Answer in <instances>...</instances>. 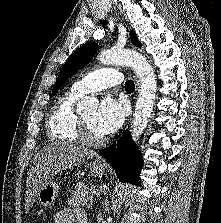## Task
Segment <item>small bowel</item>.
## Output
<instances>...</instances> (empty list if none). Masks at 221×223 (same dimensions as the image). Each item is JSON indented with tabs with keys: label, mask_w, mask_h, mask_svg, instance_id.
Masks as SVG:
<instances>
[{
	"label": "small bowel",
	"mask_w": 221,
	"mask_h": 223,
	"mask_svg": "<svg viewBox=\"0 0 221 223\" xmlns=\"http://www.w3.org/2000/svg\"><path fill=\"white\" fill-rule=\"evenodd\" d=\"M88 223L87 217L78 210L61 209L57 211L51 223Z\"/></svg>",
	"instance_id": "c3829d8e"
}]
</instances>
